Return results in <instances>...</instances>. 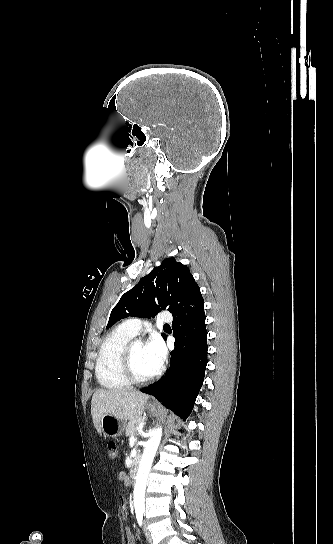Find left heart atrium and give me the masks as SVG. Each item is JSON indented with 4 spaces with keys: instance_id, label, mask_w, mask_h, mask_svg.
Instances as JSON below:
<instances>
[{
    "instance_id": "1",
    "label": "left heart atrium",
    "mask_w": 333,
    "mask_h": 544,
    "mask_svg": "<svg viewBox=\"0 0 333 544\" xmlns=\"http://www.w3.org/2000/svg\"><path fill=\"white\" fill-rule=\"evenodd\" d=\"M145 349L152 367L155 369V371H158L163 365L166 357V349L164 344L158 337H153L146 344Z\"/></svg>"
}]
</instances>
